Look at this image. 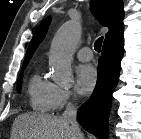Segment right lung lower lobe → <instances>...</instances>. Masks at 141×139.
<instances>
[{"mask_svg": "<svg viewBox=\"0 0 141 139\" xmlns=\"http://www.w3.org/2000/svg\"><path fill=\"white\" fill-rule=\"evenodd\" d=\"M123 35L104 43L98 62V79L89 101L77 113L80 125L99 139H108V117L123 57Z\"/></svg>", "mask_w": 141, "mask_h": 139, "instance_id": "obj_1", "label": "right lung lower lobe"}]
</instances>
